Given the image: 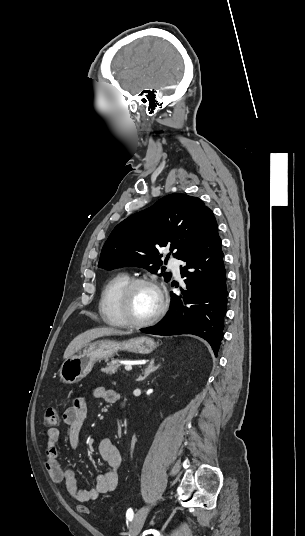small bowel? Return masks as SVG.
<instances>
[{"label": "small bowel", "mask_w": 305, "mask_h": 536, "mask_svg": "<svg viewBox=\"0 0 305 536\" xmlns=\"http://www.w3.org/2000/svg\"><path fill=\"white\" fill-rule=\"evenodd\" d=\"M94 395L108 403L115 402L117 398L116 391L104 388L95 389ZM86 416L87 405L83 398H77L64 412V422L68 426L69 442L73 448H78L80 444L81 431ZM59 438L60 431L57 427L47 429L44 446L45 468L54 483L64 482L72 499L95 500L100 494L112 492L117 488L122 455L110 438H102L98 443V452L105 463V469L97 475L95 486L92 489H79L74 470L70 467L63 468L60 465L58 460Z\"/></svg>", "instance_id": "1"}]
</instances>
